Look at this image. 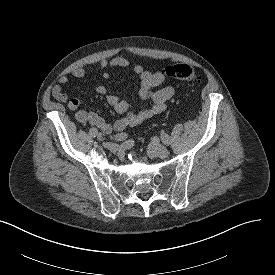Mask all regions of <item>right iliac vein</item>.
<instances>
[{
	"label": "right iliac vein",
	"mask_w": 275,
	"mask_h": 275,
	"mask_svg": "<svg viewBox=\"0 0 275 275\" xmlns=\"http://www.w3.org/2000/svg\"><path fill=\"white\" fill-rule=\"evenodd\" d=\"M103 145L107 149H109L111 152H115L118 149V146L116 144H114V143H111V142H105V143H103Z\"/></svg>",
	"instance_id": "1"
}]
</instances>
